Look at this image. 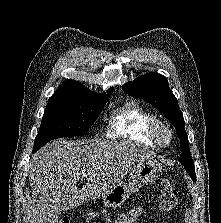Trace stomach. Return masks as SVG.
Returning a JSON list of instances; mask_svg holds the SVG:
<instances>
[{"label": "stomach", "instance_id": "1", "mask_svg": "<svg viewBox=\"0 0 221 223\" xmlns=\"http://www.w3.org/2000/svg\"><path fill=\"white\" fill-rule=\"evenodd\" d=\"M162 171L161 164L156 160H147L137 163L129 182H120L108 193L102 196L105 206L111 208L121 207L123 203L142 186L157 179Z\"/></svg>", "mask_w": 221, "mask_h": 223}]
</instances>
